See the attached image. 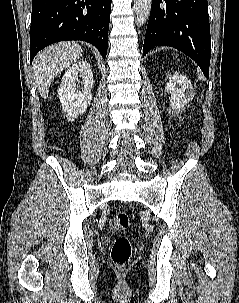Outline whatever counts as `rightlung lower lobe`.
<instances>
[{
	"instance_id": "obj_1",
	"label": "right lung lower lobe",
	"mask_w": 239,
	"mask_h": 303,
	"mask_svg": "<svg viewBox=\"0 0 239 303\" xmlns=\"http://www.w3.org/2000/svg\"><path fill=\"white\" fill-rule=\"evenodd\" d=\"M111 0H33L30 60L49 44L83 40L105 59Z\"/></svg>"
}]
</instances>
